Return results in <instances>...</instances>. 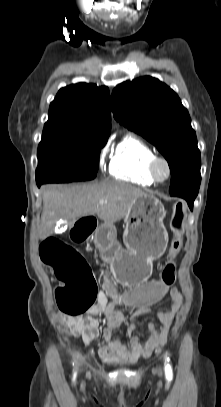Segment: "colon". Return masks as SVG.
<instances>
[{"label": "colon", "mask_w": 221, "mask_h": 407, "mask_svg": "<svg viewBox=\"0 0 221 407\" xmlns=\"http://www.w3.org/2000/svg\"><path fill=\"white\" fill-rule=\"evenodd\" d=\"M186 206L178 201L173 207L170 227L173 240L169 248V260L159 277H149L147 283H130L122 289L126 299L124 303L129 311H150L151 306H159L164 300V292H172L176 284V261L180 252L185 231ZM96 216H77L70 227L73 246H80L81 239H94ZM42 262L53 268L59 285L55 289L58 308L67 316L79 317L94 304L97 294V282L85 259L73 247L56 238H47L40 246Z\"/></svg>", "instance_id": "colon-1"}]
</instances>
